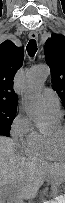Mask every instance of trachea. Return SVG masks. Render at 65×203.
Instances as JSON below:
<instances>
[{"label":"trachea","mask_w":65,"mask_h":203,"mask_svg":"<svg viewBox=\"0 0 65 203\" xmlns=\"http://www.w3.org/2000/svg\"><path fill=\"white\" fill-rule=\"evenodd\" d=\"M37 51V44H36V41L34 39H31L29 42H28V45H27V52L28 54L32 57L35 55Z\"/></svg>","instance_id":"3493384b"}]
</instances>
